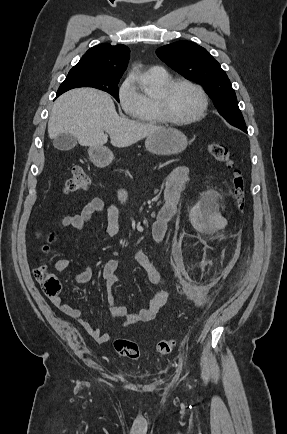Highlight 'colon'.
<instances>
[{
	"instance_id": "1",
	"label": "colon",
	"mask_w": 287,
	"mask_h": 434,
	"mask_svg": "<svg viewBox=\"0 0 287 434\" xmlns=\"http://www.w3.org/2000/svg\"><path fill=\"white\" fill-rule=\"evenodd\" d=\"M207 148L217 161L224 163L228 168L232 169V198L237 212L241 213L245 206V178L241 169L235 165L233 153L225 145L218 142H210ZM90 182V178L86 172L81 167H75L71 176L65 182L64 191L66 193L85 191L89 188ZM47 249L48 244L43 247V250ZM34 277L48 297L59 296L62 289L61 283L44 265H40L34 269ZM175 344L174 339L161 340L157 342L155 351L160 355L169 354ZM114 349L119 355L129 359L137 360L141 357L140 346L128 339H116L114 341Z\"/></svg>"
}]
</instances>
